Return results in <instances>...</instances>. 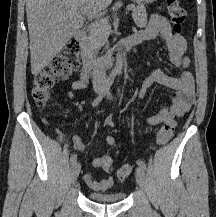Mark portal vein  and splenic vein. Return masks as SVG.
<instances>
[{
	"instance_id": "18ae733b",
	"label": "portal vein and splenic vein",
	"mask_w": 216,
	"mask_h": 217,
	"mask_svg": "<svg viewBox=\"0 0 216 217\" xmlns=\"http://www.w3.org/2000/svg\"><path fill=\"white\" fill-rule=\"evenodd\" d=\"M133 8H134L133 5H128V6H127V10H133ZM87 15H88L89 17H93V16H94L93 13H88Z\"/></svg>"
}]
</instances>
